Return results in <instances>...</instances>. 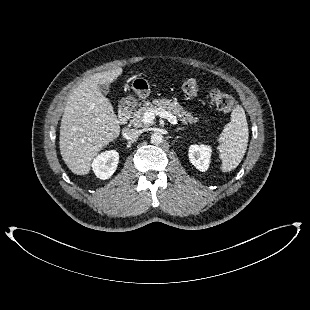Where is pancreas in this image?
Listing matches in <instances>:
<instances>
[{"mask_svg": "<svg viewBox=\"0 0 310 310\" xmlns=\"http://www.w3.org/2000/svg\"><path fill=\"white\" fill-rule=\"evenodd\" d=\"M157 107L174 114L184 124H192L199 121L197 117H194L190 112L186 111L178 102L168 99H155L153 103L145 101L137 110H135L131 124L135 128L148 126V124L143 121V114L147 110Z\"/></svg>", "mask_w": 310, "mask_h": 310, "instance_id": "cf45deb5", "label": "pancreas"}]
</instances>
